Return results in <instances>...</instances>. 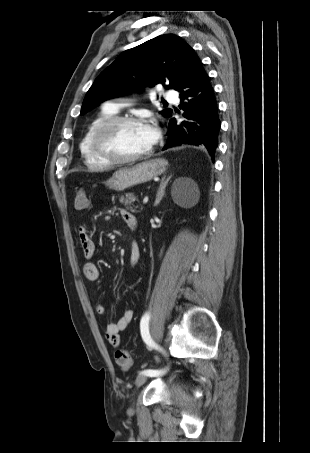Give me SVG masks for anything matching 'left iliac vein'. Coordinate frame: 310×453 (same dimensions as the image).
Listing matches in <instances>:
<instances>
[{
	"instance_id": "4c4485c4",
	"label": "left iliac vein",
	"mask_w": 310,
	"mask_h": 453,
	"mask_svg": "<svg viewBox=\"0 0 310 453\" xmlns=\"http://www.w3.org/2000/svg\"><path fill=\"white\" fill-rule=\"evenodd\" d=\"M147 380V375L141 373L135 379V385L137 388L141 387Z\"/></svg>"
}]
</instances>
